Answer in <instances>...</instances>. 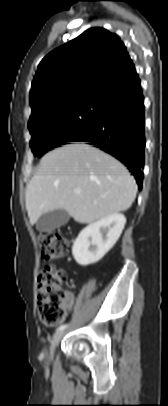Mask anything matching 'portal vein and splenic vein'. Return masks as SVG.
<instances>
[{"label":"portal vein and splenic vein","mask_w":168,"mask_h":406,"mask_svg":"<svg viewBox=\"0 0 168 406\" xmlns=\"http://www.w3.org/2000/svg\"><path fill=\"white\" fill-rule=\"evenodd\" d=\"M74 192H75L76 194H80V193H81V190L77 188V189L74 190Z\"/></svg>","instance_id":"obj_1"}]
</instances>
